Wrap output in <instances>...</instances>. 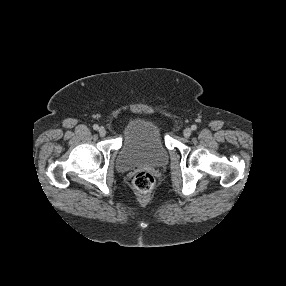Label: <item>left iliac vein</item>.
Segmentation results:
<instances>
[{
  "label": "left iliac vein",
  "mask_w": 286,
  "mask_h": 286,
  "mask_svg": "<svg viewBox=\"0 0 286 286\" xmlns=\"http://www.w3.org/2000/svg\"><path fill=\"white\" fill-rule=\"evenodd\" d=\"M191 133H192V130L190 128H186L184 131H183V135L184 137L186 138H189L191 136Z\"/></svg>",
  "instance_id": "left-iliac-vein-1"
}]
</instances>
